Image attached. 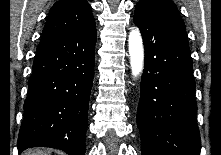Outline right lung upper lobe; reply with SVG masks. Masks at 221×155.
Returning <instances> with one entry per match:
<instances>
[{
	"label": "right lung upper lobe",
	"instance_id": "1",
	"mask_svg": "<svg viewBox=\"0 0 221 155\" xmlns=\"http://www.w3.org/2000/svg\"><path fill=\"white\" fill-rule=\"evenodd\" d=\"M95 24L86 0H59L50 9L42 35H56L89 28Z\"/></svg>",
	"mask_w": 221,
	"mask_h": 155
}]
</instances>
